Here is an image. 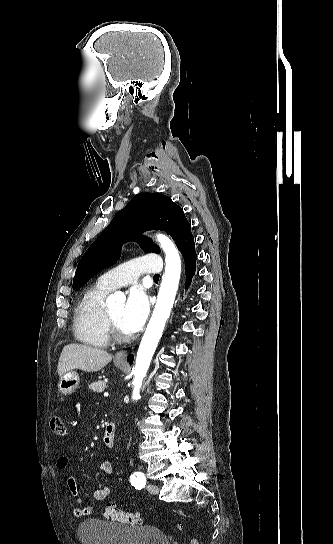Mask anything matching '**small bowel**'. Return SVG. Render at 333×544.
I'll return each instance as SVG.
<instances>
[{"label":"small bowel","instance_id":"1","mask_svg":"<svg viewBox=\"0 0 333 544\" xmlns=\"http://www.w3.org/2000/svg\"><path fill=\"white\" fill-rule=\"evenodd\" d=\"M56 467L58 470H66L68 467V458L65 456H61L56 461ZM99 471L100 473L104 475H109L113 472V464L110 461H103L99 465ZM67 486L69 488V491L71 495L76 499L77 505L73 507L72 513L74 516H84L89 515L92 513V506L88 504H84L82 500L79 497V490L76 479L69 475L67 478ZM111 494V488L109 486H100L93 490L92 492V498L97 501L101 502L107 499Z\"/></svg>","mask_w":333,"mask_h":544}]
</instances>
